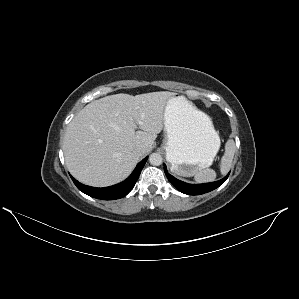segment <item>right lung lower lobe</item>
Instances as JSON below:
<instances>
[{"label": "right lung lower lobe", "mask_w": 299, "mask_h": 299, "mask_svg": "<svg viewBox=\"0 0 299 299\" xmlns=\"http://www.w3.org/2000/svg\"><path fill=\"white\" fill-rule=\"evenodd\" d=\"M148 157L144 158L135 168L133 173L123 182L110 186V187H104V188H95L91 186H86L78 182L75 178H72L74 184L77 186V188L82 191L83 193L97 198V199H103V200H114L119 199L124 196H126L131 189L134 187L141 170L143 169Z\"/></svg>", "instance_id": "1"}]
</instances>
